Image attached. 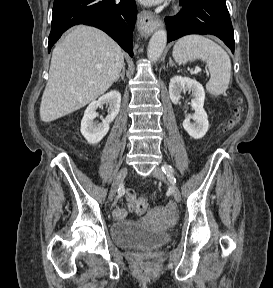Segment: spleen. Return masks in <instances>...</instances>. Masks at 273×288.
Here are the masks:
<instances>
[{
  "mask_svg": "<svg viewBox=\"0 0 273 288\" xmlns=\"http://www.w3.org/2000/svg\"><path fill=\"white\" fill-rule=\"evenodd\" d=\"M173 58L179 64L200 59L206 62L210 79L206 84L212 95H221L228 89L231 78V61L226 51L211 39L201 35H187L173 47Z\"/></svg>",
  "mask_w": 273,
  "mask_h": 288,
  "instance_id": "1",
  "label": "spleen"
}]
</instances>
